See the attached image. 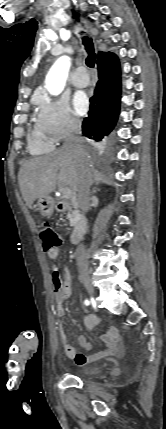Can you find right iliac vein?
I'll return each mask as SVG.
<instances>
[{
  "instance_id": "1",
  "label": "right iliac vein",
  "mask_w": 166,
  "mask_h": 429,
  "mask_svg": "<svg viewBox=\"0 0 166 429\" xmlns=\"http://www.w3.org/2000/svg\"><path fill=\"white\" fill-rule=\"evenodd\" d=\"M80 277H81V281L85 287V289L87 290V292L91 295L94 296V287L91 281V278L87 272L86 269H81L80 270Z\"/></svg>"
}]
</instances>
